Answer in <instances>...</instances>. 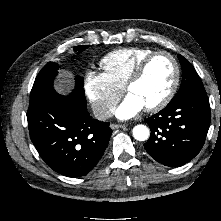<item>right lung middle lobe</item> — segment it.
I'll list each match as a JSON object with an SVG mask.
<instances>
[{"label":"right lung middle lobe","instance_id":"right-lung-middle-lobe-1","mask_svg":"<svg viewBox=\"0 0 221 221\" xmlns=\"http://www.w3.org/2000/svg\"><path fill=\"white\" fill-rule=\"evenodd\" d=\"M86 48H88V45H81L75 47V50L80 53ZM58 69V64L54 62H49L42 68L35 79L34 85L31 90L30 99L38 98L46 94L48 91L53 90V81L58 74ZM75 81L76 85L74 91H77L78 93L84 95L83 78L77 76L75 78Z\"/></svg>","mask_w":221,"mask_h":221}]
</instances>
